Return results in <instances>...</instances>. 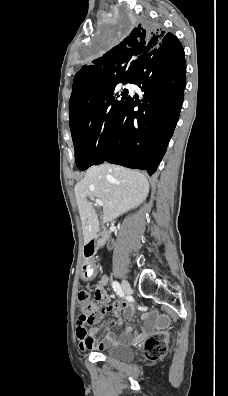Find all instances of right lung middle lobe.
<instances>
[{"mask_svg":"<svg viewBox=\"0 0 228 396\" xmlns=\"http://www.w3.org/2000/svg\"><path fill=\"white\" fill-rule=\"evenodd\" d=\"M135 23L133 17H128L113 27L94 44L90 56L104 53L126 35ZM121 82L128 83L129 80L117 82L96 98L81 114L70 119L76 165L82 171L92 165L103 163L106 158L112 128L128 94L127 90L119 93L115 89Z\"/></svg>","mask_w":228,"mask_h":396,"instance_id":"right-lung-middle-lobe-1","label":"right lung middle lobe"}]
</instances>
